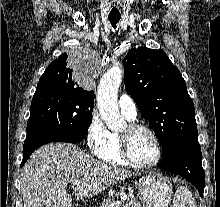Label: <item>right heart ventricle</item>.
<instances>
[{"label":"right heart ventricle","instance_id":"right-heart-ventricle-1","mask_svg":"<svg viewBox=\"0 0 220 207\" xmlns=\"http://www.w3.org/2000/svg\"><path fill=\"white\" fill-rule=\"evenodd\" d=\"M94 154L102 161L112 165H128L120 155L118 146V134L116 133H110V138L106 146L103 149L95 152Z\"/></svg>","mask_w":220,"mask_h":207}]
</instances>
